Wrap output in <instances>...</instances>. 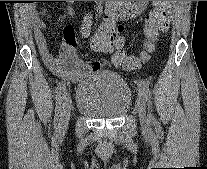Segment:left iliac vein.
I'll use <instances>...</instances> for the list:
<instances>
[{"instance_id":"4c4485c4","label":"left iliac vein","mask_w":207,"mask_h":169,"mask_svg":"<svg viewBox=\"0 0 207 169\" xmlns=\"http://www.w3.org/2000/svg\"><path fill=\"white\" fill-rule=\"evenodd\" d=\"M137 112L139 115V119L141 122V125L143 127H148L150 124V120L147 116L146 113V105H145V100L144 97L141 93L138 94V99H137Z\"/></svg>"}]
</instances>
